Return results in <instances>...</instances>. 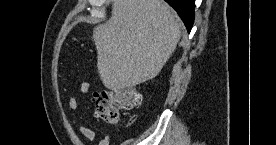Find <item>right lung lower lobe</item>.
<instances>
[{
    "instance_id": "obj_1",
    "label": "right lung lower lobe",
    "mask_w": 276,
    "mask_h": 145,
    "mask_svg": "<svg viewBox=\"0 0 276 145\" xmlns=\"http://www.w3.org/2000/svg\"><path fill=\"white\" fill-rule=\"evenodd\" d=\"M170 4L183 20L188 32H190L194 22L195 0H165Z\"/></svg>"
}]
</instances>
